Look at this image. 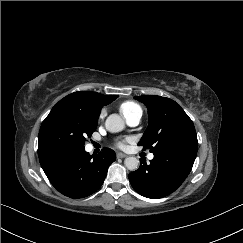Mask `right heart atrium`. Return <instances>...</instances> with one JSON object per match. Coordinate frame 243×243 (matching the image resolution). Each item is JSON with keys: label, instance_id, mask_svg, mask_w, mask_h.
<instances>
[{"label": "right heart atrium", "instance_id": "right-heart-atrium-1", "mask_svg": "<svg viewBox=\"0 0 243 243\" xmlns=\"http://www.w3.org/2000/svg\"><path fill=\"white\" fill-rule=\"evenodd\" d=\"M103 116H104V112H101V113H100V119H102Z\"/></svg>", "mask_w": 243, "mask_h": 243}]
</instances>
